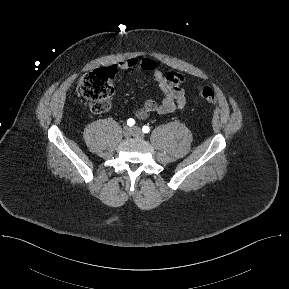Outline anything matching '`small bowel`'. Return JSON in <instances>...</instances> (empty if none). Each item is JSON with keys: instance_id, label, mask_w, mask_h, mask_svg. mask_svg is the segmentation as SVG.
<instances>
[{"instance_id": "c3829d8e", "label": "small bowel", "mask_w": 289, "mask_h": 289, "mask_svg": "<svg viewBox=\"0 0 289 289\" xmlns=\"http://www.w3.org/2000/svg\"><path fill=\"white\" fill-rule=\"evenodd\" d=\"M121 69L139 68L151 72L158 84L162 99L160 102L148 99L135 111L138 119H145L152 113L168 114L181 110L186 106L187 98L183 88L188 79L180 73L170 72L164 74L151 58H129L118 65Z\"/></svg>"}]
</instances>
